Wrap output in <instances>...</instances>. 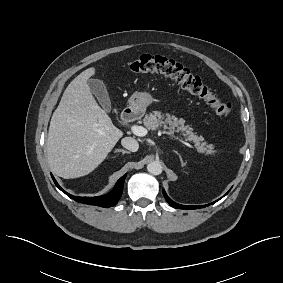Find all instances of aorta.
<instances>
[{
    "label": "aorta",
    "mask_w": 283,
    "mask_h": 283,
    "mask_svg": "<svg viewBox=\"0 0 283 283\" xmlns=\"http://www.w3.org/2000/svg\"><path fill=\"white\" fill-rule=\"evenodd\" d=\"M147 170L153 175H160L163 171V167L160 162L154 161L147 165Z\"/></svg>",
    "instance_id": "obj_1"
}]
</instances>
